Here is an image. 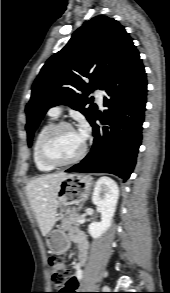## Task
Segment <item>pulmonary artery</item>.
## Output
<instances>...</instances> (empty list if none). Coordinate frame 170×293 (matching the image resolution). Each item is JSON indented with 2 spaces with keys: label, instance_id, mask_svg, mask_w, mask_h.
I'll list each match as a JSON object with an SVG mask.
<instances>
[{
  "label": "pulmonary artery",
  "instance_id": "e3ab8cb5",
  "mask_svg": "<svg viewBox=\"0 0 170 293\" xmlns=\"http://www.w3.org/2000/svg\"><path fill=\"white\" fill-rule=\"evenodd\" d=\"M95 94L99 100V105L102 106L105 92L103 90L98 89V90H96ZM61 113H62V106L61 105L54 106L49 110V114L54 117L60 116Z\"/></svg>",
  "mask_w": 170,
  "mask_h": 293
}]
</instances>
